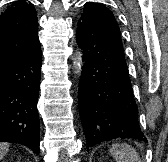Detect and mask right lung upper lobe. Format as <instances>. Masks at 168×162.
I'll return each mask as SVG.
<instances>
[{"mask_svg": "<svg viewBox=\"0 0 168 162\" xmlns=\"http://www.w3.org/2000/svg\"><path fill=\"white\" fill-rule=\"evenodd\" d=\"M39 49L36 11L20 0L0 16V67Z\"/></svg>", "mask_w": 168, "mask_h": 162, "instance_id": "right-lung-upper-lobe-1", "label": "right lung upper lobe"}]
</instances>
